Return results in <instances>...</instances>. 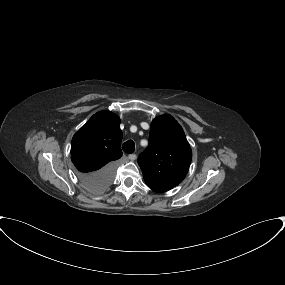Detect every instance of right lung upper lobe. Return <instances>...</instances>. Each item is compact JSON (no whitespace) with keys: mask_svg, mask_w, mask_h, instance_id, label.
<instances>
[{"mask_svg":"<svg viewBox=\"0 0 285 285\" xmlns=\"http://www.w3.org/2000/svg\"><path fill=\"white\" fill-rule=\"evenodd\" d=\"M119 117L110 111L94 114L73 136L71 160L81 173L96 172L122 156Z\"/></svg>","mask_w":285,"mask_h":285,"instance_id":"obj_1","label":"right lung upper lobe"}]
</instances>
